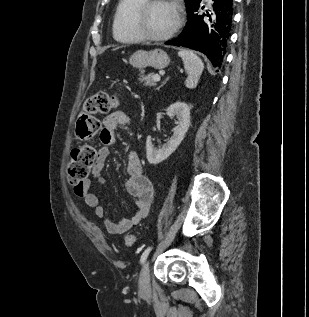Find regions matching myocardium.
Masks as SVG:
<instances>
[{
  "label": "myocardium",
  "mask_w": 309,
  "mask_h": 317,
  "mask_svg": "<svg viewBox=\"0 0 309 317\" xmlns=\"http://www.w3.org/2000/svg\"><path fill=\"white\" fill-rule=\"evenodd\" d=\"M170 3L176 11V22L171 30L163 35H152L148 33L143 26L144 19L150 9L158 3ZM183 24L182 9L178 0H144L133 13L132 28L141 40L150 42H163L172 38L181 28Z\"/></svg>",
  "instance_id": "f54148a6"
}]
</instances>
